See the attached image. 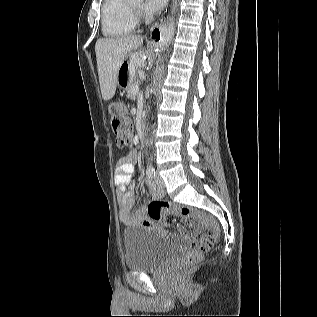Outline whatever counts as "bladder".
<instances>
[{"mask_svg":"<svg viewBox=\"0 0 317 317\" xmlns=\"http://www.w3.org/2000/svg\"><path fill=\"white\" fill-rule=\"evenodd\" d=\"M125 267L132 271H154L164 266L178 252L176 240L157 236L141 226L124 231Z\"/></svg>","mask_w":317,"mask_h":317,"instance_id":"bladder-1","label":"bladder"}]
</instances>
